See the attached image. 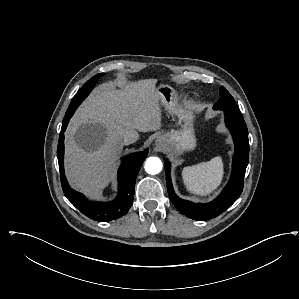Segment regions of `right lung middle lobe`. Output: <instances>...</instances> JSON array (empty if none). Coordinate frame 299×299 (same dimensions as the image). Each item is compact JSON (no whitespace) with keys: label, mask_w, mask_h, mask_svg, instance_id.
<instances>
[{"label":"right lung middle lobe","mask_w":299,"mask_h":299,"mask_svg":"<svg viewBox=\"0 0 299 299\" xmlns=\"http://www.w3.org/2000/svg\"><path fill=\"white\" fill-rule=\"evenodd\" d=\"M103 74H97L93 76L90 80H88L83 87L77 92V94L73 97L69 107L67 110L72 109L74 107H78L80 103L88 96L91 90L94 88L96 81Z\"/></svg>","instance_id":"obj_1"}]
</instances>
